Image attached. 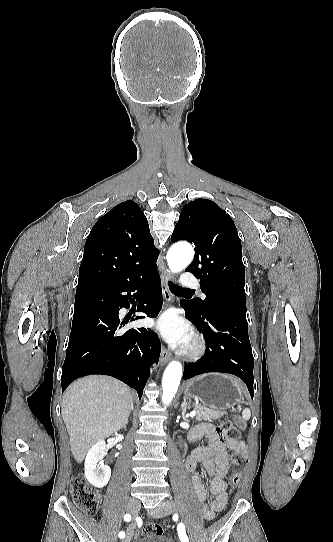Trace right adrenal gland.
I'll return each mask as SVG.
<instances>
[{"mask_svg": "<svg viewBox=\"0 0 333 542\" xmlns=\"http://www.w3.org/2000/svg\"><path fill=\"white\" fill-rule=\"evenodd\" d=\"M131 410H133V402H131Z\"/></svg>", "mask_w": 333, "mask_h": 542, "instance_id": "obj_1", "label": "right adrenal gland"}]
</instances>
